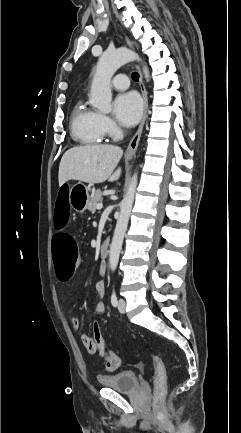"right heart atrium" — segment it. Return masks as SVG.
Returning <instances> with one entry per match:
<instances>
[{"mask_svg": "<svg viewBox=\"0 0 241 433\" xmlns=\"http://www.w3.org/2000/svg\"><path fill=\"white\" fill-rule=\"evenodd\" d=\"M100 121L103 129L106 133L110 135H117L119 133V128L113 122V120L107 115H101Z\"/></svg>", "mask_w": 241, "mask_h": 433, "instance_id": "obj_1", "label": "right heart atrium"}]
</instances>
